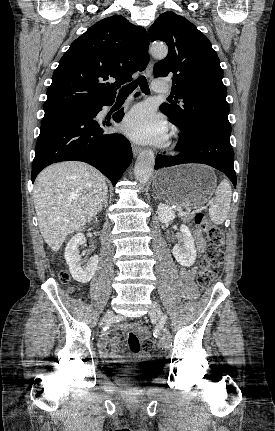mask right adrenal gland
<instances>
[{"label":"right adrenal gland","mask_w":275,"mask_h":431,"mask_svg":"<svg viewBox=\"0 0 275 431\" xmlns=\"http://www.w3.org/2000/svg\"><path fill=\"white\" fill-rule=\"evenodd\" d=\"M107 203H108V196L106 197V199H105V201H104L103 206H105V207H106V206H107ZM103 206H102V207H103ZM101 209H102V208H101Z\"/></svg>","instance_id":"1"}]
</instances>
